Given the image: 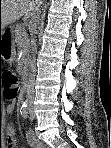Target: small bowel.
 <instances>
[{"label": "small bowel", "instance_id": "small-bowel-1", "mask_svg": "<svg viewBox=\"0 0 111 148\" xmlns=\"http://www.w3.org/2000/svg\"><path fill=\"white\" fill-rule=\"evenodd\" d=\"M15 109V103H11L7 106V112L12 113ZM15 130L12 125L7 126L6 128V137H7V147L8 148H16V142L14 139ZM26 140L30 147L32 148H42L44 145H42L38 139L36 138L35 134L31 131H28L26 133Z\"/></svg>", "mask_w": 111, "mask_h": 148}]
</instances>
